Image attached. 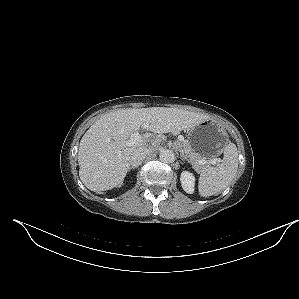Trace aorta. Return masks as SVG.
Returning a JSON list of instances; mask_svg holds the SVG:
<instances>
[{"mask_svg": "<svg viewBox=\"0 0 299 299\" xmlns=\"http://www.w3.org/2000/svg\"><path fill=\"white\" fill-rule=\"evenodd\" d=\"M159 158L164 163H172L175 160V154L172 150L164 149L160 152Z\"/></svg>", "mask_w": 299, "mask_h": 299, "instance_id": "762f6f07", "label": "aorta"}]
</instances>
